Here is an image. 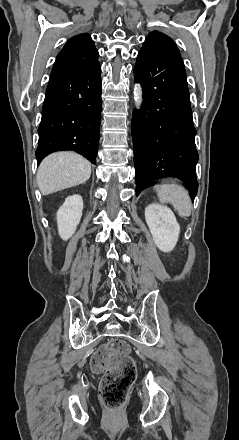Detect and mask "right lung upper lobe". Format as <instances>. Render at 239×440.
I'll return each instance as SVG.
<instances>
[{"label": "right lung upper lobe", "mask_w": 239, "mask_h": 440, "mask_svg": "<svg viewBox=\"0 0 239 440\" xmlns=\"http://www.w3.org/2000/svg\"><path fill=\"white\" fill-rule=\"evenodd\" d=\"M99 53L88 34L70 38L58 54L53 70L86 71L99 65Z\"/></svg>", "instance_id": "right-lung-upper-lobe-1"}]
</instances>
